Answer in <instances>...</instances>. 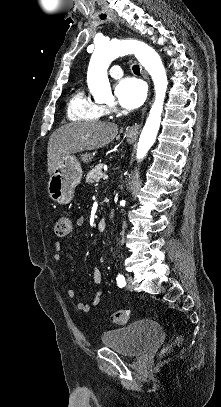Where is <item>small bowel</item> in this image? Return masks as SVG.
<instances>
[{
	"instance_id": "obj_1",
	"label": "small bowel",
	"mask_w": 221,
	"mask_h": 407,
	"mask_svg": "<svg viewBox=\"0 0 221 407\" xmlns=\"http://www.w3.org/2000/svg\"><path fill=\"white\" fill-rule=\"evenodd\" d=\"M86 224V220L85 217L83 215L79 216L77 221H76V225L78 228H82L84 227ZM54 249H55V255L54 257L59 259L61 256V250H62V244L61 242L57 241L54 245ZM92 280L93 283L95 284V286L97 287V291L95 293V296L93 298V300L88 303V302H84V301H77L76 303V308L79 311L82 312H89L93 307L97 306L100 302V298L102 295V288H101V283H102V270L100 268H95L93 271V275H92ZM67 296L69 298H75L76 293L73 289H69L67 291Z\"/></svg>"
}]
</instances>
